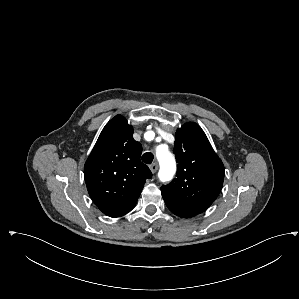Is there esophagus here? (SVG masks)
I'll return each instance as SVG.
<instances>
[{
	"label": "esophagus",
	"instance_id": "esophagus-1",
	"mask_svg": "<svg viewBox=\"0 0 299 299\" xmlns=\"http://www.w3.org/2000/svg\"><path fill=\"white\" fill-rule=\"evenodd\" d=\"M150 170L152 173H155L158 170V164L157 163H153L149 166Z\"/></svg>",
	"mask_w": 299,
	"mask_h": 299
}]
</instances>
